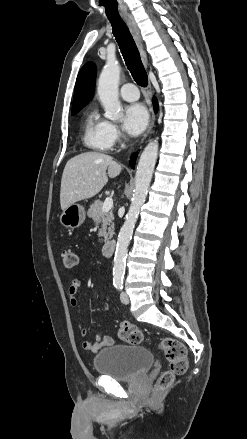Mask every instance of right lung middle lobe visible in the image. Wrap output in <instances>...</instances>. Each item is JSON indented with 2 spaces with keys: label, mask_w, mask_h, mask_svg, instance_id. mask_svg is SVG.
<instances>
[{
  "label": "right lung middle lobe",
  "mask_w": 247,
  "mask_h": 439,
  "mask_svg": "<svg viewBox=\"0 0 247 439\" xmlns=\"http://www.w3.org/2000/svg\"><path fill=\"white\" fill-rule=\"evenodd\" d=\"M80 110H81V109H78V110L72 111V115L77 114Z\"/></svg>",
  "instance_id": "right-lung-middle-lobe-1"
}]
</instances>
